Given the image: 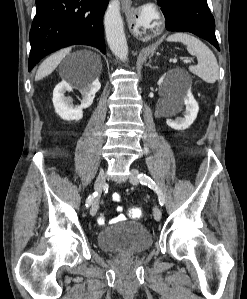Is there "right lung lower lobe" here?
I'll return each instance as SVG.
<instances>
[{
  "mask_svg": "<svg viewBox=\"0 0 247 299\" xmlns=\"http://www.w3.org/2000/svg\"><path fill=\"white\" fill-rule=\"evenodd\" d=\"M109 0H36L28 70L46 55L82 44L106 53L103 15Z\"/></svg>",
  "mask_w": 247,
  "mask_h": 299,
  "instance_id": "obj_1",
  "label": "right lung lower lobe"
}]
</instances>
